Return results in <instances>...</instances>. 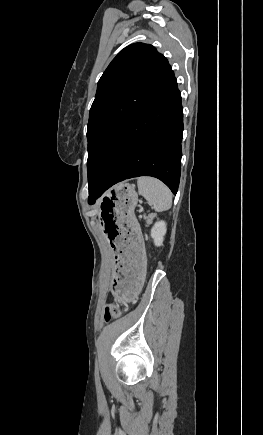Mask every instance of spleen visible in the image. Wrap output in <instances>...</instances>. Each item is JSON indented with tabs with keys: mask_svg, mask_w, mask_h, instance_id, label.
Returning <instances> with one entry per match:
<instances>
[{
	"mask_svg": "<svg viewBox=\"0 0 263 435\" xmlns=\"http://www.w3.org/2000/svg\"><path fill=\"white\" fill-rule=\"evenodd\" d=\"M139 193L149 201L157 212L168 210L172 205V194L160 180L152 177H140L137 181Z\"/></svg>",
	"mask_w": 263,
	"mask_h": 435,
	"instance_id": "3e777b00",
	"label": "spleen"
}]
</instances>
